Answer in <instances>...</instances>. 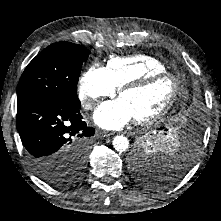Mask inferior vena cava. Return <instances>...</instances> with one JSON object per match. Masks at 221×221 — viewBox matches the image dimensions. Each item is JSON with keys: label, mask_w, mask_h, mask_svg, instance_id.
<instances>
[{"label": "inferior vena cava", "mask_w": 221, "mask_h": 221, "mask_svg": "<svg viewBox=\"0 0 221 221\" xmlns=\"http://www.w3.org/2000/svg\"><path fill=\"white\" fill-rule=\"evenodd\" d=\"M92 106L91 105H88V108H91Z\"/></svg>", "instance_id": "obj_1"}]
</instances>
